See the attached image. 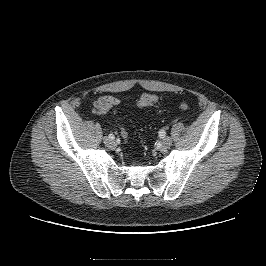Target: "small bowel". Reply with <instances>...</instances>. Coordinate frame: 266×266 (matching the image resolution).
<instances>
[{
  "label": "small bowel",
  "mask_w": 266,
  "mask_h": 266,
  "mask_svg": "<svg viewBox=\"0 0 266 266\" xmlns=\"http://www.w3.org/2000/svg\"><path fill=\"white\" fill-rule=\"evenodd\" d=\"M120 104V100L115 96L105 95L98 98L94 104L98 112L105 114L114 112L115 108Z\"/></svg>",
  "instance_id": "1"
}]
</instances>
